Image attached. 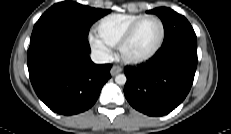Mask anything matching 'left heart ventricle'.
<instances>
[{"mask_svg":"<svg viewBox=\"0 0 231 134\" xmlns=\"http://www.w3.org/2000/svg\"><path fill=\"white\" fill-rule=\"evenodd\" d=\"M160 35L161 27L158 21L154 19L144 21L124 48V55L136 58L149 54L158 44Z\"/></svg>","mask_w":231,"mask_h":134,"instance_id":"left-heart-ventricle-1","label":"left heart ventricle"}]
</instances>
